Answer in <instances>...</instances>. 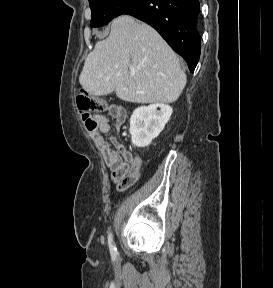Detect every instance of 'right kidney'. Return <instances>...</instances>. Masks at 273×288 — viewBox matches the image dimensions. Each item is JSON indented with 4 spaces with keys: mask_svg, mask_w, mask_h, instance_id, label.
Masks as SVG:
<instances>
[{
    "mask_svg": "<svg viewBox=\"0 0 273 288\" xmlns=\"http://www.w3.org/2000/svg\"><path fill=\"white\" fill-rule=\"evenodd\" d=\"M172 112V107L163 103L141 106L135 109L130 118L129 132L132 142L137 147L150 145L152 140L164 129Z\"/></svg>",
    "mask_w": 273,
    "mask_h": 288,
    "instance_id": "ca27d5eb",
    "label": "right kidney"
}]
</instances>
